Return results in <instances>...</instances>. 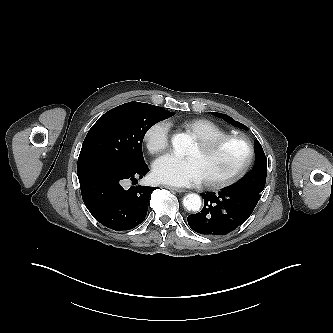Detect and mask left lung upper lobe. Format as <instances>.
Instances as JSON below:
<instances>
[{
  "label": "left lung upper lobe",
  "mask_w": 333,
  "mask_h": 333,
  "mask_svg": "<svg viewBox=\"0 0 333 333\" xmlns=\"http://www.w3.org/2000/svg\"><path fill=\"white\" fill-rule=\"evenodd\" d=\"M228 123L243 129H247L242 123L235 121L233 118L222 113H213ZM255 150V164L253 170L248 173L242 180L230 186L233 190L245 191L254 193L261 196V192L265 187L266 176H267V160L264 154L263 148L258 141L254 143Z\"/></svg>",
  "instance_id": "obj_1"
}]
</instances>
